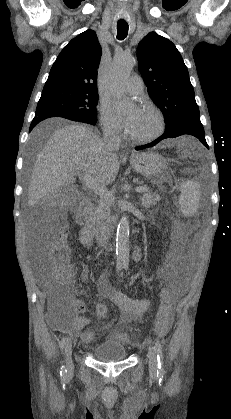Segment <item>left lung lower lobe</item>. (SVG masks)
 <instances>
[{
  "instance_id": "1",
  "label": "left lung lower lobe",
  "mask_w": 231,
  "mask_h": 419,
  "mask_svg": "<svg viewBox=\"0 0 231 419\" xmlns=\"http://www.w3.org/2000/svg\"><path fill=\"white\" fill-rule=\"evenodd\" d=\"M181 135L195 136L196 138H198L202 142V144L205 147L209 148L208 144L205 140L204 128H203V125L201 124V122H187V123L182 124L181 126H179L175 130L165 132L161 137H159L155 141L151 142L150 144L136 147V150H141V149H145V148H148V147H152L163 139L174 138V137H178V136H181Z\"/></svg>"
}]
</instances>
